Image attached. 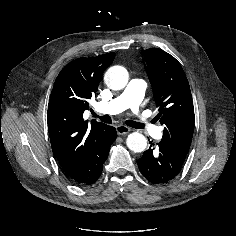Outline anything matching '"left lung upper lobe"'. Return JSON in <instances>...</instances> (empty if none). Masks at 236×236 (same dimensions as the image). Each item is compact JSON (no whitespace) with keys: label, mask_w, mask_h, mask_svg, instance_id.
<instances>
[{"label":"left lung upper lobe","mask_w":236,"mask_h":236,"mask_svg":"<svg viewBox=\"0 0 236 236\" xmlns=\"http://www.w3.org/2000/svg\"><path fill=\"white\" fill-rule=\"evenodd\" d=\"M147 74L154 90L159 114L164 125L161 143L186 157L194 131V107L190 86L180 63L167 52L145 50Z\"/></svg>","instance_id":"obj_1"}]
</instances>
